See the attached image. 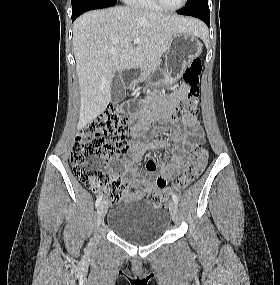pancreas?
I'll use <instances>...</instances> for the list:
<instances>
[{
	"mask_svg": "<svg viewBox=\"0 0 280 285\" xmlns=\"http://www.w3.org/2000/svg\"><path fill=\"white\" fill-rule=\"evenodd\" d=\"M160 62L161 61L159 59L154 61H146L141 67V75L138 81H143L146 77H148L150 73L160 65Z\"/></svg>",
	"mask_w": 280,
	"mask_h": 285,
	"instance_id": "1",
	"label": "pancreas"
}]
</instances>
